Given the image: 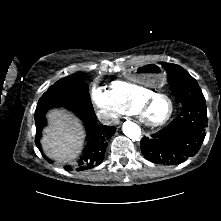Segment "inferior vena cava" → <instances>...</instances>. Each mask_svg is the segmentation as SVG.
I'll return each instance as SVG.
<instances>
[{"instance_id": "602c4592", "label": "inferior vena cava", "mask_w": 221, "mask_h": 221, "mask_svg": "<svg viewBox=\"0 0 221 221\" xmlns=\"http://www.w3.org/2000/svg\"><path fill=\"white\" fill-rule=\"evenodd\" d=\"M99 121L104 125H111L117 122V119L113 116L111 112H99L97 114Z\"/></svg>"}]
</instances>
